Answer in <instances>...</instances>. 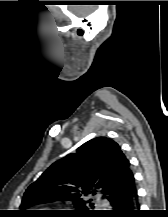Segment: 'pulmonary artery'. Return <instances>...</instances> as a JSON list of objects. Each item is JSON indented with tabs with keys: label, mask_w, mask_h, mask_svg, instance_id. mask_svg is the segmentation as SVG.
Masks as SVG:
<instances>
[{
	"label": "pulmonary artery",
	"mask_w": 168,
	"mask_h": 217,
	"mask_svg": "<svg viewBox=\"0 0 168 217\" xmlns=\"http://www.w3.org/2000/svg\"><path fill=\"white\" fill-rule=\"evenodd\" d=\"M99 202H100L101 204H103V205H107V204H108V201L105 200V199H104V200H100Z\"/></svg>",
	"instance_id": "1"
}]
</instances>
